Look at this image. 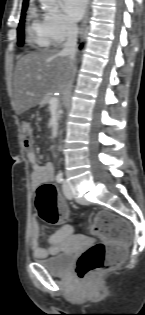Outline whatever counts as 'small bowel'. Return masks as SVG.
Returning <instances> with one entry per match:
<instances>
[{"label": "small bowel", "mask_w": 145, "mask_h": 315, "mask_svg": "<svg viewBox=\"0 0 145 315\" xmlns=\"http://www.w3.org/2000/svg\"><path fill=\"white\" fill-rule=\"evenodd\" d=\"M27 158L32 166L30 176L31 188L36 189L40 184L51 182L54 179V167L52 163H38L37 155L34 150L27 151ZM67 207V206H66ZM73 231L70 225H64L58 232L49 238V247L44 248L40 245L41 227L36 219L32 221L31 228V250L36 258H45L58 254L63 246L64 239Z\"/></svg>", "instance_id": "c3829d8e"}]
</instances>
